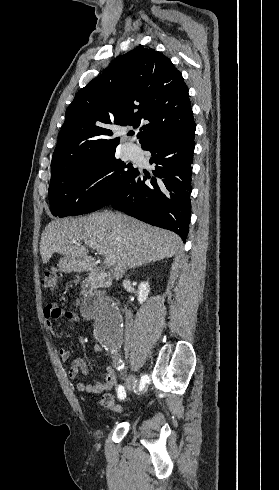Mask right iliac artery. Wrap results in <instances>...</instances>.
<instances>
[{
	"instance_id": "right-iliac-artery-1",
	"label": "right iliac artery",
	"mask_w": 279,
	"mask_h": 490,
	"mask_svg": "<svg viewBox=\"0 0 279 490\" xmlns=\"http://www.w3.org/2000/svg\"><path fill=\"white\" fill-rule=\"evenodd\" d=\"M117 393H118V398H120V399H124L126 397L124 387L121 385L118 386Z\"/></svg>"
}]
</instances>
